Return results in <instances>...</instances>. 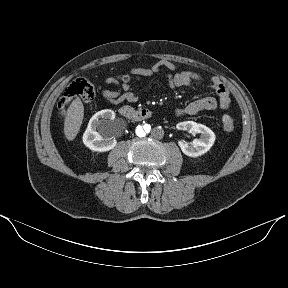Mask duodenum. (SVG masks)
Instances as JSON below:
<instances>
[{"mask_svg": "<svg viewBox=\"0 0 288 288\" xmlns=\"http://www.w3.org/2000/svg\"><path fill=\"white\" fill-rule=\"evenodd\" d=\"M120 114L124 118L132 121H142L149 119L153 116L152 110L148 108L135 109L131 106H123L120 109Z\"/></svg>", "mask_w": 288, "mask_h": 288, "instance_id": "duodenum-1", "label": "duodenum"}]
</instances>
